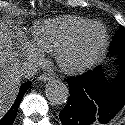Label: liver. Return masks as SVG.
Instances as JSON below:
<instances>
[{"mask_svg":"<svg viewBox=\"0 0 125 125\" xmlns=\"http://www.w3.org/2000/svg\"><path fill=\"white\" fill-rule=\"evenodd\" d=\"M11 45L9 32L0 25V116L14 102L20 85V65Z\"/></svg>","mask_w":125,"mask_h":125,"instance_id":"liver-1","label":"liver"}]
</instances>
